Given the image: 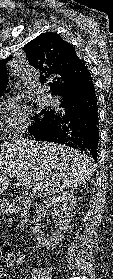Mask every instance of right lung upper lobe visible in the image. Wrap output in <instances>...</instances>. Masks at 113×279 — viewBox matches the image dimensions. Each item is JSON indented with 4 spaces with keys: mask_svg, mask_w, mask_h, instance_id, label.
Here are the masks:
<instances>
[{
    "mask_svg": "<svg viewBox=\"0 0 113 279\" xmlns=\"http://www.w3.org/2000/svg\"><path fill=\"white\" fill-rule=\"evenodd\" d=\"M23 50L30 65L40 72V81L49 80L52 94L64 96L77 90L90 75L70 43L59 34L46 32L30 41ZM12 56L0 61V91H4L7 81L5 64Z\"/></svg>",
    "mask_w": 113,
    "mask_h": 279,
    "instance_id": "1",
    "label": "right lung upper lobe"
}]
</instances>
